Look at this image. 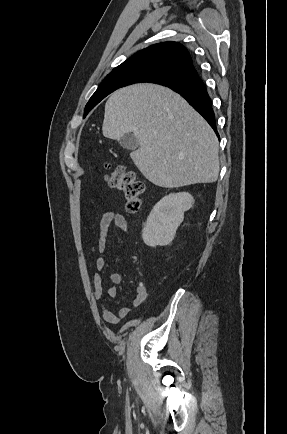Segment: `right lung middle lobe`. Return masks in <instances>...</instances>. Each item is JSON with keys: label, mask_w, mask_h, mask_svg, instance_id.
<instances>
[{"label": "right lung middle lobe", "mask_w": 287, "mask_h": 434, "mask_svg": "<svg viewBox=\"0 0 287 434\" xmlns=\"http://www.w3.org/2000/svg\"><path fill=\"white\" fill-rule=\"evenodd\" d=\"M180 76L174 73L154 68H145L129 72H119L107 75L99 85L96 92L92 95L86 104L84 117L91 111L102 99L113 91L135 83H157L164 81H177Z\"/></svg>", "instance_id": "1"}]
</instances>
